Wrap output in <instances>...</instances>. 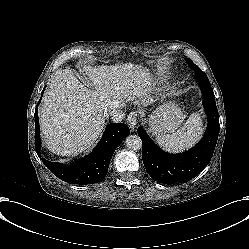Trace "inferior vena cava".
I'll return each mask as SVG.
<instances>
[{"label": "inferior vena cava", "mask_w": 249, "mask_h": 249, "mask_svg": "<svg viewBox=\"0 0 249 249\" xmlns=\"http://www.w3.org/2000/svg\"><path fill=\"white\" fill-rule=\"evenodd\" d=\"M123 108L120 103H111L107 109V117L113 122H121L125 117Z\"/></svg>", "instance_id": "1"}]
</instances>
